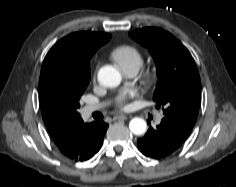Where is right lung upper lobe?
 Returning a JSON list of instances; mask_svg holds the SVG:
<instances>
[{"label":"right lung upper lobe","mask_w":236,"mask_h":187,"mask_svg":"<svg viewBox=\"0 0 236 187\" xmlns=\"http://www.w3.org/2000/svg\"><path fill=\"white\" fill-rule=\"evenodd\" d=\"M111 36L102 32H76L59 40L47 53L40 77L53 65L86 74L90 59L96 50L107 43ZM44 124L61 152L71 157L79 133L85 124L80 115H68L46 107L41 101Z\"/></svg>","instance_id":"cb5924a9"}]
</instances>
